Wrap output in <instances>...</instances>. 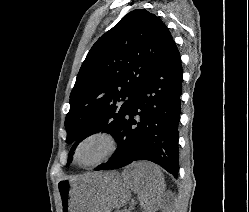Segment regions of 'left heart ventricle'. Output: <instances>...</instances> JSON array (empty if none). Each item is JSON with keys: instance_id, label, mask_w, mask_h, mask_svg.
Segmentation results:
<instances>
[{"instance_id": "obj_1", "label": "left heart ventricle", "mask_w": 249, "mask_h": 212, "mask_svg": "<svg viewBox=\"0 0 249 212\" xmlns=\"http://www.w3.org/2000/svg\"><path fill=\"white\" fill-rule=\"evenodd\" d=\"M110 144L102 137L86 141L79 150L78 161L81 164H90L100 160L108 152Z\"/></svg>"}]
</instances>
